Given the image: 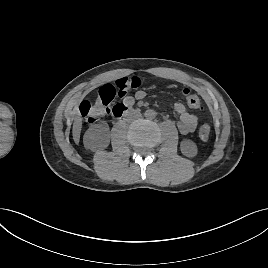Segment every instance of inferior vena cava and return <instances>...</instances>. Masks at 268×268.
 <instances>
[{"label": "inferior vena cava", "instance_id": "obj_1", "mask_svg": "<svg viewBox=\"0 0 268 268\" xmlns=\"http://www.w3.org/2000/svg\"><path fill=\"white\" fill-rule=\"evenodd\" d=\"M140 116L141 114L137 111H129L125 115V120H133V119L139 118Z\"/></svg>", "mask_w": 268, "mask_h": 268}]
</instances>
